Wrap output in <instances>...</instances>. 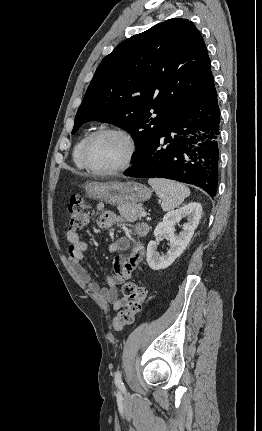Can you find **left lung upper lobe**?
<instances>
[{
  "label": "left lung upper lobe",
  "instance_id": "5c2ea615",
  "mask_svg": "<svg viewBox=\"0 0 262 431\" xmlns=\"http://www.w3.org/2000/svg\"><path fill=\"white\" fill-rule=\"evenodd\" d=\"M212 84L200 32L187 19H169L121 42L102 60L72 133L89 120L115 124L134 138V163ZM150 111L157 116L151 118Z\"/></svg>",
  "mask_w": 262,
  "mask_h": 431
}]
</instances>
